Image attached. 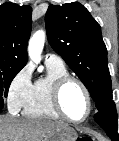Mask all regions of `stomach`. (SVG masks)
<instances>
[{
    "label": "stomach",
    "instance_id": "0dacf381",
    "mask_svg": "<svg viewBox=\"0 0 119 141\" xmlns=\"http://www.w3.org/2000/svg\"><path fill=\"white\" fill-rule=\"evenodd\" d=\"M78 135L76 131L70 127H62L44 138V141H76Z\"/></svg>",
    "mask_w": 119,
    "mask_h": 141
}]
</instances>
